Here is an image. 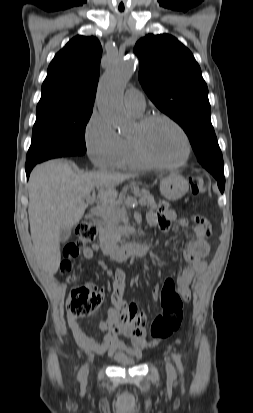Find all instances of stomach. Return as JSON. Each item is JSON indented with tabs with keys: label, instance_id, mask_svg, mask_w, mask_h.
Masks as SVG:
<instances>
[{
	"label": "stomach",
	"instance_id": "1",
	"mask_svg": "<svg viewBox=\"0 0 253 413\" xmlns=\"http://www.w3.org/2000/svg\"><path fill=\"white\" fill-rule=\"evenodd\" d=\"M189 189L187 180L179 174H171L160 182V192L168 200L182 198Z\"/></svg>",
	"mask_w": 253,
	"mask_h": 413
}]
</instances>
